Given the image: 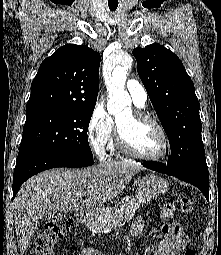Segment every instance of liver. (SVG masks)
<instances>
[{"mask_svg": "<svg viewBox=\"0 0 221 255\" xmlns=\"http://www.w3.org/2000/svg\"><path fill=\"white\" fill-rule=\"evenodd\" d=\"M140 170L142 167L131 162H105L81 170L51 169L30 178L14 200L20 253L25 252L47 210L73 212L84 205L101 207L121 194Z\"/></svg>", "mask_w": 221, "mask_h": 255, "instance_id": "obj_1", "label": "liver"}]
</instances>
